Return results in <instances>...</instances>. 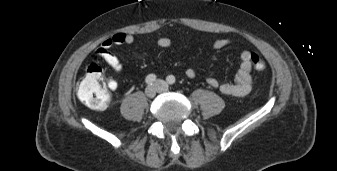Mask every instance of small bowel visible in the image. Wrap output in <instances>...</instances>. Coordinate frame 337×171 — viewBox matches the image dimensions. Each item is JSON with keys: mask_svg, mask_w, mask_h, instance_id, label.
I'll use <instances>...</instances> for the list:
<instances>
[{"mask_svg": "<svg viewBox=\"0 0 337 171\" xmlns=\"http://www.w3.org/2000/svg\"><path fill=\"white\" fill-rule=\"evenodd\" d=\"M134 36L126 32H118L103 40L100 47L97 49L96 54L115 72L123 70V64L120 59L113 54L110 49L116 45H130L134 43ZM156 44L161 48H169L172 45L170 38L161 37L156 41ZM231 45V40L227 38H221L213 41L212 47L214 49H222ZM251 52L244 50L240 53V65L236 72L235 78L232 82L220 83V81L214 77L209 76L206 81L209 86L219 89V91L225 95L242 97L247 95L252 89V62ZM185 75L192 79L196 77V71L193 68H188L185 71ZM106 83L109 89L116 90L118 87L117 81L108 77Z\"/></svg>", "mask_w": 337, "mask_h": 171, "instance_id": "c3829d8e", "label": "small bowel"}]
</instances>
